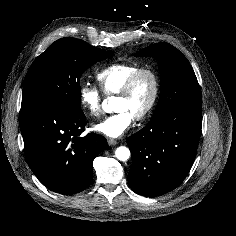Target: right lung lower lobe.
Segmentation results:
<instances>
[{
	"instance_id": "obj_1",
	"label": "right lung lower lobe",
	"mask_w": 236,
	"mask_h": 236,
	"mask_svg": "<svg viewBox=\"0 0 236 236\" xmlns=\"http://www.w3.org/2000/svg\"><path fill=\"white\" fill-rule=\"evenodd\" d=\"M85 124L81 110L44 104L21 110L26 161L51 191L72 195L92 182L93 160L107 141L95 133L81 136Z\"/></svg>"
}]
</instances>
